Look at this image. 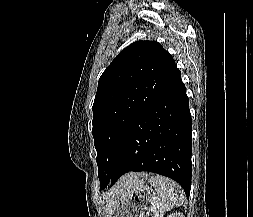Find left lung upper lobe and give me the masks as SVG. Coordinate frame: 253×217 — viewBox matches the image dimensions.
Listing matches in <instances>:
<instances>
[{"mask_svg":"<svg viewBox=\"0 0 253 217\" xmlns=\"http://www.w3.org/2000/svg\"><path fill=\"white\" fill-rule=\"evenodd\" d=\"M180 76L170 53L155 41L134 42L103 72L92 129L101 190L111 178L119 147L133 122Z\"/></svg>","mask_w":253,"mask_h":217,"instance_id":"1","label":"left lung upper lobe"}]
</instances>
